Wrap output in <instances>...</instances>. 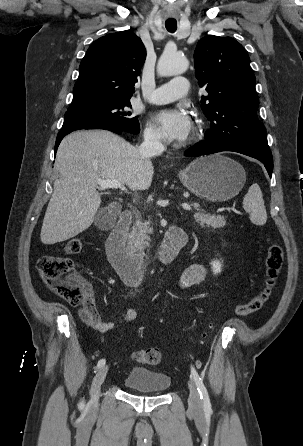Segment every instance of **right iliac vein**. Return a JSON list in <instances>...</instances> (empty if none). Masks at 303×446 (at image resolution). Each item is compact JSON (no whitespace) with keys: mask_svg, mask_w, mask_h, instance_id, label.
<instances>
[{"mask_svg":"<svg viewBox=\"0 0 303 446\" xmlns=\"http://www.w3.org/2000/svg\"><path fill=\"white\" fill-rule=\"evenodd\" d=\"M107 373H108V366H103L102 368H100V370L97 372L96 376L93 379L90 389V396H91L90 403L92 409H95L97 407L100 396V388L107 376Z\"/></svg>","mask_w":303,"mask_h":446,"instance_id":"right-iliac-vein-1","label":"right iliac vein"}]
</instances>
